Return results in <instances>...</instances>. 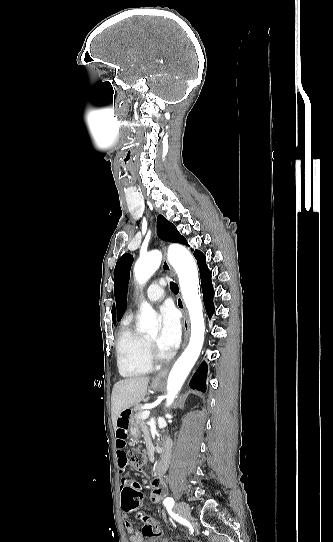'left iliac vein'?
I'll use <instances>...</instances> for the list:
<instances>
[{
	"instance_id": "4c4485c4",
	"label": "left iliac vein",
	"mask_w": 333,
	"mask_h": 542,
	"mask_svg": "<svg viewBox=\"0 0 333 542\" xmlns=\"http://www.w3.org/2000/svg\"><path fill=\"white\" fill-rule=\"evenodd\" d=\"M175 509L178 514L185 517L188 521H191V522L193 521V518L191 517L190 506L186 502L180 501L176 505Z\"/></svg>"
}]
</instances>
